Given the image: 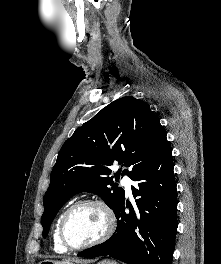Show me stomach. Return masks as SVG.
I'll return each mask as SVG.
<instances>
[{
    "label": "stomach",
    "instance_id": "obj_1",
    "mask_svg": "<svg viewBox=\"0 0 221 264\" xmlns=\"http://www.w3.org/2000/svg\"><path fill=\"white\" fill-rule=\"evenodd\" d=\"M39 264H88L87 262H76V263H73V262H62V261H56V260H43L41 261ZM97 264H118L116 261H112V260H102L100 262H98Z\"/></svg>",
    "mask_w": 221,
    "mask_h": 264
}]
</instances>
